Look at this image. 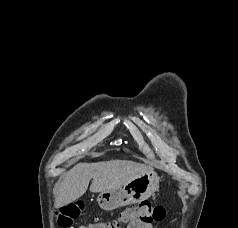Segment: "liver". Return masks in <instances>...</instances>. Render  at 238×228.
<instances>
[{"mask_svg":"<svg viewBox=\"0 0 238 228\" xmlns=\"http://www.w3.org/2000/svg\"><path fill=\"white\" fill-rule=\"evenodd\" d=\"M153 170L150 166L128 160L79 163L63 178L55 191V207H62L79 199L87 191L93 193L116 189L137 175Z\"/></svg>","mask_w":238,"mask_h":228,"instance_id":"6515ba94","label":"liver"}]
</instances>
